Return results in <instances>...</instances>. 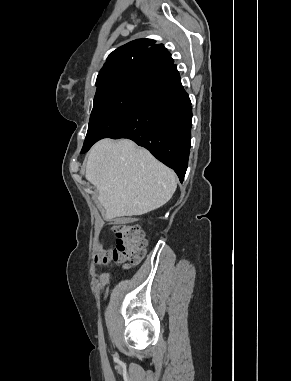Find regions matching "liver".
Segmentation results:
<instances>
[{"mask_svg":"<svg viewBox=\"0 0 291 381\" xmlns=\"http://www.w3.org/2000/svg\"><path fill=\"white\" fill-rule=\"evenodd\" d=\"M85 177L97 188L107 221L155 210L177 188L174 171L128 139L97 142L90 150Z\"/></svg>","mask_w":291,"mask_h":381,"instance_id":"liver-1","label":"liver"}]
</instances>
